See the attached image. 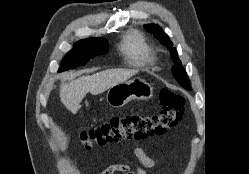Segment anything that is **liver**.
<instances>
[{
	"label": "liver",
	"mask_w": 249,
	"mask_h": 174,
	"mask_svg": "<svg viewBox=\"0 0 249 174\" xmlns=\"http://www.w3.org/2000/svg\"><path fill=\"white\" fill-rule=\"evenodd\" d=\"M137 70L108 69L91 76H83L60 88V99L63 105L72 113L80 109L82 99L90 92L98 95L112 86L124 82L134 76Z\"/></svg>",
	"instance_id": "obj_1"
}]
</instances>
